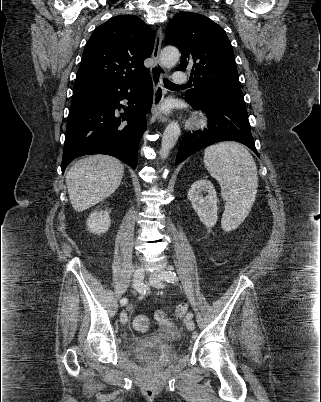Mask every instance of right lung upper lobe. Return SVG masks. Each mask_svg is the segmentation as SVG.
<instances>
[{"label":"right lung upper lobe","instance_id":"cb5924a9","mask_svg":"<svg viewBox=\"0 0 321 402\" xmlns=\"http://www.w3.org/2000/svg\"><path fill=\"white\" fill-rule=\"evenodd\" d=\"M153 47V31L137 16L109 19L88 40L74 87L133 82L149 76L143 61L151 56Z\"/></svg>","mask_w":321,"mask_h":402}]
</instances>
